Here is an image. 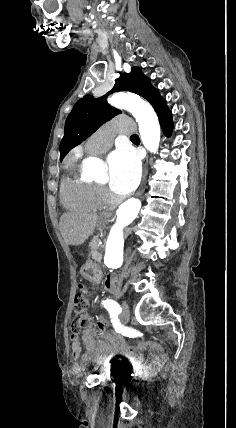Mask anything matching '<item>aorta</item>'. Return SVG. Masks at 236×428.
<instances>
[{
	"label": "aorta",
	"mask_w": 236,
	"mask_h": 428,
	"mask_svg": "<svg viewBox=\"0 0 236 428\" xmlns=\"http://www.w3.org/2000/svg\"><path fill=\"white\" fill-rule=\"evenodd\" d=\"M108 102L116 108L129 111L134 116L139 126L143 145L148 151L156 153L160 143V125L152 106L140 97L126 92L113 94ZM85 165L94 168L95 159H87ZM94 174L101 177V172L96 168ZM140 208V200L134 198L128 199L119 206L116 212V222L110 230L105 247L104 262L108 268L117 269L122 266L124 254L123 229L136 219Z\"/></svg>",
	"instance_id": "762f6f07"
}]
</instances>
